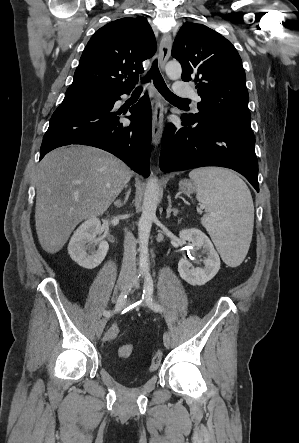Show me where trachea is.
Masks as SVG:
<instances>
[{
    "instance_id": "1",
    "label": "trachea",
    "mask_w": 299,
    "mask_h": 443,
    "mask_svg": "<svg viewBox=\"0 0 299 443\" xmlns=\"http://www.w3.org/2000/svg\"><path fill=\"white\" fill-rule=\"evenodd\" d=\"M153 80L154 86L156 89L162 94L164 98H166L169 101L173 102H189L188 99H183L178 96H176L174 93H172L169 88L167 87L159 69H158V63L157 60H155L151 66V69L146 74L144 78V82H149ZM136 91L140 92L142 91V86H138L136 88Z\"/></svg>"
}]
</instances>
